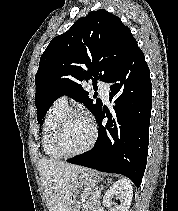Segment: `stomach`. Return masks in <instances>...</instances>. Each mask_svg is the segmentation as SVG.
<instances>
[{
  "instance_id": "obj_1",
  "label": "stomach",
  "mask_w": 178,
  "mask_h": 211,
  "mask_svg": "<svg viewBox=\"0 0 178 211\" xmlns=\"http://www.w3.org/2000/svg\"><path fill=\"white\" fill-rule=\"evenodd\" d=\"M99 181V174L87 170L77 177L70 194L67 211H80Z\"/></svg>"
}]
</instances>
